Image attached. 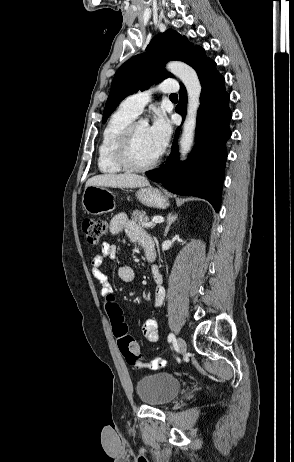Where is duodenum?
Masks as SVG:
<instances>
[{
    "instance_id": "obj_1",
    "label": "duodenum",
    "mask_w": 294,
    "mask_h": 462,
    "mask_svg": "<svg viewBox=\"0 0 294 462\" xmlns=\"http://www.w3.org/2000/svg\"><path fill=\"white\" fill-rule=\"evenodd\" d=\"M143 248H144V253H145L147 260L153 261L155 259V254H156L154 246L151 244H145Z\"/></svg>"
}]
</instances>
